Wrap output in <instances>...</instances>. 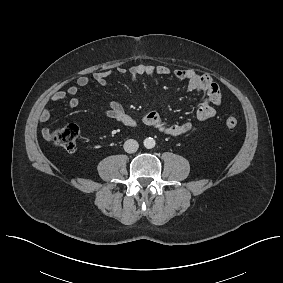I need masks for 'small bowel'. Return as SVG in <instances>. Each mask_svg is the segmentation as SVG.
I'll use <instances>...</instances> for the list:
<instances>
[{"instance_id":"obj_1","label":"small bowel","mask_w":283,"mask_h":283,"mask_svg":"<svg viewBox=\"0 0 283 283\" xmlns=\"http://www.w3.org/2000/svg\"><path fill=\"white\" fill-rule=\"evenodd\" d=\"M120 75L129 74L132 80H137L142 76H167L172 75L174 79L186 83L188 90L202 92L205 94V100L198 106L196 110V119L199 122L206 121L216 115L215 106L222 103V94L218 84L208 74H200L193 69H175L171 70L166 65L138 64L130 68H118L116 71ZM111 71H100L93 74V80L106 86ZM90 83L88 76H81L77 79V85L67 88V90H58L53 93L51 100L58 102L64 100L67 96H71L68 105L75 108L80 104L77 97L80 87H85ZM106 115L130 128H137L139 122L125 112L123 106L119 102H111L108 104ZM51 118V111L44 108L39 116L40 121L47 122ZM142 122L166 135L177 137L190 132L193 128L191 122L167 123L157 111H149L142 119ZM48 129H43V134L48 135Z\"/></svg>"}]
</instances>
